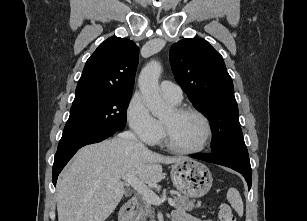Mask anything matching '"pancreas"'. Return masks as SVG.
Listing matches in <instances>:
<instances>
[{
  "mask_svg": "<svg viewBox=\"0 0 307 221\" xmlns=\"http://www.w3.org/2000/svg\"><path fill=\"white\" fill-rule=\"evenodd\" d=\"M171 195L174 197L176 202V208L181 211H192L195 208L201 207V202L194 204V200L188 199L187 196L181 195L178 192H172ZM155 211L152 208L151 204L144 199H141L137 203L136 210L132 221H155Z\"/></svg>",
  "mask_w": 307,
  "mask_h": 221,
  "instance_id": "1",
  "label": "pancreas"
}]
</instances>
